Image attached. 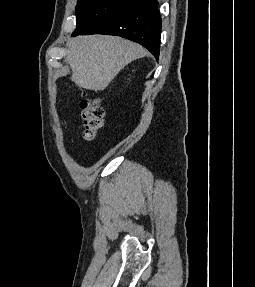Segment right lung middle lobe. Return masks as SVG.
Returning <instances> with one entry per match:
<instances>
[{
	"label": "right lung middle lobe",
	"mask_w": 255,
	"mask_h": 287,
	"mask_svg": "<svg viewBox=\"0 0 255 287\" xmlns=\"http://www.w3.org/2000/svg\"><path fill=\"white\" fill-rule=\"evenodd\" d=\"M131 3V0H78L76 6L77 27L73 34L85 31L94 23Z\"/></svg>",
	"instance_id": "obj_1"
}]
</instances>
